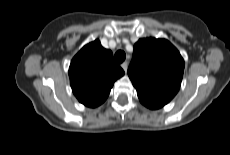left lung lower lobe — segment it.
Listing matches in <instances>:
<instances>
[{
	"instance_id": "0a47b994",
	"label": "left lung lower lobe",
	"mask_w": 230,
	"mask_h": 155,
	"mask_svg": "<svg viewBox=\"0 0 230 155\" xmlns=\"http://www.w3.org/2000/svg\"><path fill=\"white\" fill-rule=\"evenodd\" d=\"M146 107L150 108V109H158V107L155 106H151V105H145Z\"/></svg>"
}]
</instances>
